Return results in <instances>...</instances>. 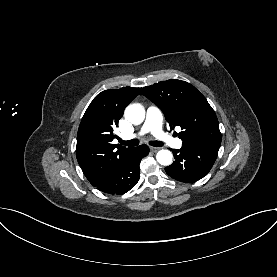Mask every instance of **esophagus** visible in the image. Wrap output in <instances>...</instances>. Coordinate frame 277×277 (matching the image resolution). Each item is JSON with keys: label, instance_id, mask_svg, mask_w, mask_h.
I'll use <instances>...</instances> for the list:
<instances>
[{"label": "esophagus", "instance_id": "esophagus-1", "mask_svg": "<svg viewBox=\"0 0 277 277\" xmlns=\"http://www.w3.org/2000/svg\"><path fill=\"white\" fill-rule=\"evenodd\" d=\"M159 147H150V150L152 151V152H157V151H159Z\"/></svg>", "mask_w": 277, "mask_h": 277}]
</instances>
